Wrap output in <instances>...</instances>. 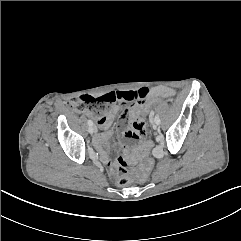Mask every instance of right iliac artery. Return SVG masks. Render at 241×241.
I'll return each instance as SVG.
<instances>
[{"mask_svg":"<svg viewBox=\"0 0 241 241\" xmlns=\"http://www.w3.org/2000/svg\"><path fill=\"white\" fill-rule=\"evenodd\" d=\"M88 124L91 126L93 125V122L91 120H88Z\"/></svg>","mask_w":241,"mask_h":241,"instance_id":"1","label":"right iliac artery"}]
</instances>
